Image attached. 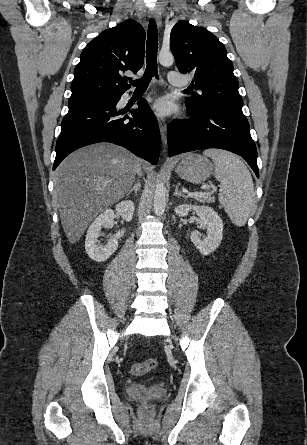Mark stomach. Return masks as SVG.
Returning <instances> with one entry per match:
<instances>
[{
    "mask_svg": "<svg viewBox=\"0 0 307 445\" xmlns=\"http://www.w3.org/2000/svg\"><path fill=\"white\" fill-rule=\"evenodd\" d=\"M175 170L184 180L199 184V182H204V180L209 178L212 170H214V164L207 156H200V154L190 152L185 158H182Z\"/></svg>",
    "mask_w": 307,
    "mask_h": 445,
    "instance_id": "1",
    "label": "stomach"
}]
</instances>
